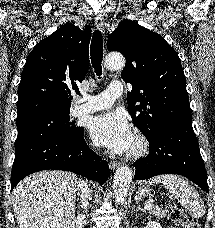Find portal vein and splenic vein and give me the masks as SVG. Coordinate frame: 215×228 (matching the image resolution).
Masks as SVG:
<instances>
[{
	"label": "portal vein and splenic vein",
	"mask_w": 215,
	"mask_h": 228,
	"mask_svg": "<svg viewBox=\"0 0 215 228\" xmlns=\"http://www.w3.org/2000/svg\"><path fill=\"white\" fill-rule=\"evenodd\" d=\"M152 208H155L154 204L152 202H149L147 206H144V210H152Z\"/></svg>",
	"instance_id": "1"
}]
</instances>
